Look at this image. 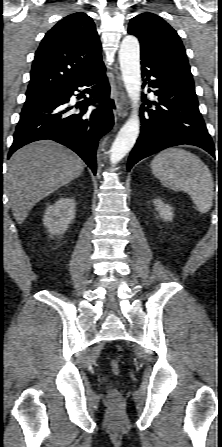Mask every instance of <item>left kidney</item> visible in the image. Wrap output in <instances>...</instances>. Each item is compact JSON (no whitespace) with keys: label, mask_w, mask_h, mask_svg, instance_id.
Segmentation results:
<instances>
[{"label":"left kidney","mask_w":222,"mask_h":447,"mask_svg":"<svg viewBox=\"0 0 222 447\" xmlns=\"http://www.w3.org/2000/svg\"><path fill=\"white\" fill-rule=\"evenodd\" d=\"M154 205L156 206V210L159 212V216L163 218L164 221H172L174 214L171 206L165 204L160 199L154 200Z\"/></svg>","instance_id":"obj_1"}]
</instances>
